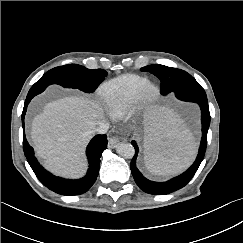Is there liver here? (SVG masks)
<instances>
[{"label":"liver","instance_id":"liver-1","mask_svg":"<svg viewBox=\"0 0 243 243\" xmlns=\"http://www.w3.org/2000/svg\"><path fill=\"white\" fill-rule=\"evenodd\" d=\"M103 118L101 104L86 96L48 102L32 121L31 139L36 154L56 175L82 176L87 166L85 148Z\"/></svg>","mask_w":243,"mask_h":243}]
</instances>
